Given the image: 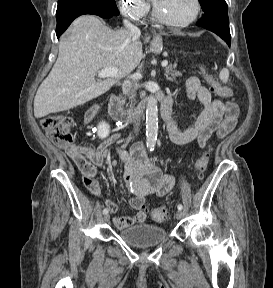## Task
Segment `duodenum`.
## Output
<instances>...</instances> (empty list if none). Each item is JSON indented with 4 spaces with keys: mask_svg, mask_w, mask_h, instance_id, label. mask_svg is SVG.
I'll return each instance as SVG.
<instances>
[{
    "mask_svg": "<svg viewBox=\"0 0 273 288\" xmlns=\"http://www.w3.org/2000/svg\"><path fill=\"white\" fill-rule=\"evenodd\" d=\"M151 102H158L161 104V115L166 121L170 119V111L172 106V98L164 96L161 92L155 93L150 99H147L139 104V106L132 110H125L116 95H112L109 99L108 115L117 122L131 123L135 122L144 116L146 109Z\"/></svg>",
    "mask_w": 273,
    "mask_h": 288,
    "instance_id": "duodenum-1",
    "label": "duodenum"
}]
</instances>
